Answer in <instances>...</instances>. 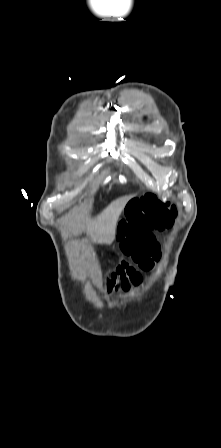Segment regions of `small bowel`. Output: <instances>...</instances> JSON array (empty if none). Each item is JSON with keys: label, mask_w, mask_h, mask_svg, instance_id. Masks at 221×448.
<instances>
[{"label": "small bowel", "mask_w": 221, "mask_h": 448, "mask_svg": "<svg viewBox=\"0 0 221 448\" xmlns=\"http://www.w3.org/2000/svg\"><path fill=\"white\" fill-rule=\"evenodd\" d=\"M139 216H141L142 218L147 219V215H146V213H145L142 209L139 210ZM124 220H127V222H128V224H129V226H130L131 229H133V230H137V226L135 225L134 222L128 220L127 218L124 219ZM154 231H155V230L151 229V230H150V233L153 235V232H154ZM139 233H140V231H137V234H139ZM137 234L132 233V234L130 235V237L127 238V239H125L124 237H119V236H118V239H119V241H120L121 248H122V251L124 252V254H126V255H130V256L133 257V253L135 252V250H133V249L131 248V246L134 245V244H136V242H137ZM153 237H154V236H153Z\"/></svg>", "instance_id": "obj_1"}]
</instances>
